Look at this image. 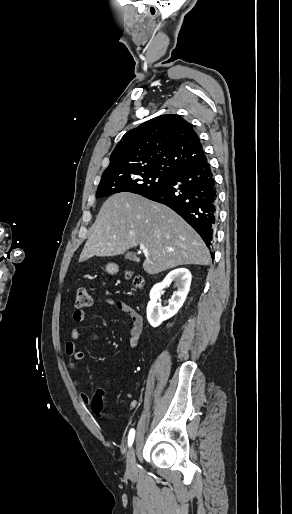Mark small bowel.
I'll return each instance as SVG.
<instances>
[{
  "label": "small bowel",
  "instance_id": "1",
  "mask_svg": "<svg viewBox=\"0 0 292 514\" xmlns=\"http://www.w3.org/2000/svg\"><path fill=\"white\" fill-rule=\"evenodd\" d=\"M90 306H110L115 308L116 310L128 315L132 320V325L129 328L128 336L130 340V345L135 348L139 345V339L142 332L143 320L142 317L126 302L118 299H114L108 296H99L91 300ZM87 310L86 309H77L73 313V320L76 323L84 322L87 319ZM70 340L66 343L65 352L68 356H71V361L68 365L70 371L75 370L76 363L80 362L84 359V353L78 350L80 332L78 328L74 327L70 332ZM92 343L94 346L99 345V340L97 336L93 337ZM72 383L74 386L78 387L80 385V381L77 378H72ZM126 398H130L132 393L130 391H126L124 393ZM79 398L82 403L87 404L89 402V395L86 392H80ZM130 404L135 406L137 401L134 397H131Z\"/></svg>",
  "mask_w": 292,
  "mask_h": 514
}]
</instances>
